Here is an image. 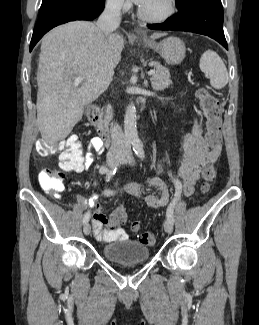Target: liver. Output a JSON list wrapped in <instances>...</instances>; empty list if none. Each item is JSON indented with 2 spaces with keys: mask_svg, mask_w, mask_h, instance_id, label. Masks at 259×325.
Masks as SVG:
<instances>
[{
  "mask_svg": "<svg viewBox=\"0 0 259 325\" xmlns=\"http://www.w3.org/2000/svg\"><path fill=\"white\" fill-rule=\"evenodd\" d=\"M165 33H154L153 39ZM124 41L106 36L94 23L73 21L47 33L37 72V122L44 142L65 139L82 119L84 107L109 86L121 60ZM82 76L78 86L74 78Z\"/></svg>",
  "mask_w": 259,
  "mask_h": 325,
  "instance_id": "obj_1",
  "label": "liver"
}]
</instances>
